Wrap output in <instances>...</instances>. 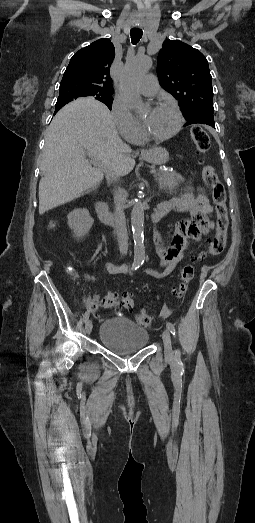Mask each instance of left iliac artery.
<instances>
[{
  "mask_svg": "<svg viewBox=\"0 0 255 523\" xmlns=\"http://www.w3.org/2000/svg\"><path fill=\"white\" fill-rule=\"evenodd\" d=\"M166 325H167V328L169 329V331L171 332V334L173 336H175L176 335V330H175L174 325L171 322H167ZM175 359H176L177 362H180V351L179 350H176V352H175Z\"/></svg>",
  "mask_w": 255,
  "mask_h": 523,
  "instance_id": "obj_1",
  "label": "left iliac artery"
}]
</instances>
